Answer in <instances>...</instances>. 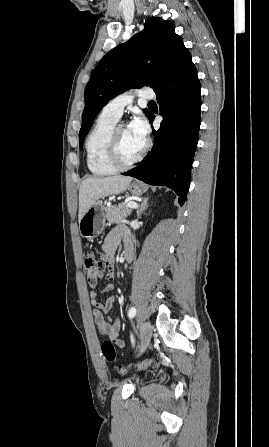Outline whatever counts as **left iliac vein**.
Here are the masks:
<instances>
[{
  "label": "left iliac vein",
  "mask_w": 269,
  "mask_h": 447,
  "mask_svg": "<svg viewBox=\"0 0 269 447\" xmlns=\"http://www.w3.org/2000/svg\"><path fill=\"white\" fill-rule=\"evenodd\" d=\"M142 333L140 335L141 339V350L138 356L145 350V348L149 345L150 339L152 337V325L149 321H144L141 326Z\"/></svg>",
  "instance_id": "left-iliac-vein-1"
}]
</instances>
